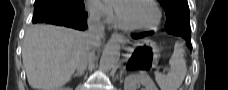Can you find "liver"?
Returning a JSON list of instances; mask_svg holds the SVG:
<instances>
[{
    "label": "liver",
    "instance_id": "6515ba94",
    "mask_svg": "<svg viewBox=\"0 0 228 90\" xmlns=\"http://www.w3.org/2000/svg\"><path fill=\"white\" fill-rule=\"evenodd\" d=\"M99 46V39L91 45ZM85 47L83 32L50 25L32 26L22 47L29 85L35 90H59L70 80Z\"/></svg>",
    "mask_w": 228,
    "mask_h": 90
}]
</instances>
